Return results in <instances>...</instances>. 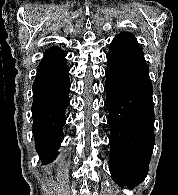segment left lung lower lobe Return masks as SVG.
I'll return each instance as SVG.
<instances>
[{"label": "left lung lower lobe", "mask_w": 178, "mask_h": 195, "mask_svg": "<svg viewBox=\"0 0 178 195\" xmlns=\"http://www.w3.org/2000/svg\"><path fill=\"white\" fill-rule=\"evenodd\" d=\"M112 178L134 188L147 176L153 151L154 108L146 62L108 52L105 71Z\"/></svg>", "instance_id": "0a47b994"}]
</instances>
